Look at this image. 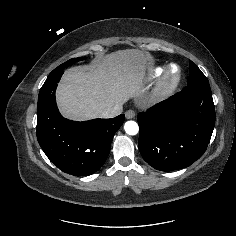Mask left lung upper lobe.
Returning a JSON list of instances; mask_svg holds the SVG:
<instances>
[{
    "mask_svg": "<svg viewBox=\"0 0 236 236\" xmlns=\"http://www.w3.org/2000/svg\"><path fill=\"white\" fill-rule=\"evenodd\" d=\"M189 64H190V75L187 80L188 85L194 83L208 82L206 76L201 72V70L194 62L189 61Z\"/></svg>",
    "mask_w": 236,
    "mask_h": 236,
    "instance_id": "5c2ea615",
    "label": "left lung upper lobe"
}]
</instances>
